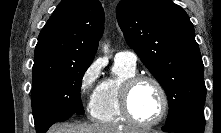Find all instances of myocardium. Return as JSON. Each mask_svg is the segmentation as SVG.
I'll use <instances>...</instances> for the list:
<instances>
[{
    "instance_id": "obj_1",
    "label": "myocardium",
    "mask_w": 221,
    "mask_h": 133,
    "mask_svg": "<svg viewBox=\"0 0 221 133\" xmlns=\"http://www.w3.org/2000/svg\"><path fill=\"white\" fill-rule=\"evenodd\" d=\"M143 81H148L151 82L152 84L155 85V87L157 88L160 97H161V110L159 115L157 116L156 119L149 121V122H144V121H140L138 120L132 113L131 110V95L132 92L134 90V88ZM119 102H120V109H121V113L124 116V118L139 127H144V128H148V127H153L158 125L166 116L167 111H168V97H167V93L166 90L164 88V86L162 85V83L156 79L155 77L151 76V75H144V74H135L134 76L126 79L120 89V97H119Z\"/></svg>"
}]
</instances>
